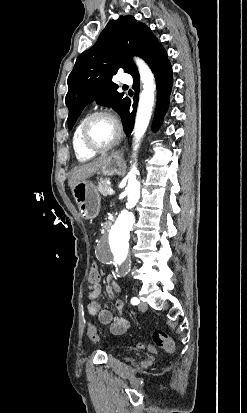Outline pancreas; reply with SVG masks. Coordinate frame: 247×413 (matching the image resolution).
<instances>
[{
  "mask_svg": "<svg viewBox=\"0 0 247 413\" xmlns=\"http://www.w3.org/2000/svg\"><path fill=\"white\" fill-rule=\"evenodd\" d=\"M111 184H108V178H100L98 182V190L101 194H108L107 190H109Z\"/></svg>",
  "mask_w": 247,
  "mask_h": 413,
  "instance_id": "cf45deb5",
  "label": "pancreas"
}]
</instances>
